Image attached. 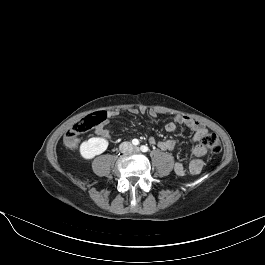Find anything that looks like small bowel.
<instances>
[{
    "label": "small bowel",
    "instance_id": "c3829d8e",
    "mask_svg": "<svg viewBox=\"0 0 265 265\" xmlns=\"http://www.w3.org/2000/svg\"><path fill=\"white\" fill-rule=\"evenodd\" d=\"M147 110L145 107L132 108L129 110L131 114H138V113H145ZM118 115L117 111H109L108 114H106L105 120L96 127V134L109 139L111 137L110 131L107 128L108 125V119L111 117H115ZM149 115L152 118H155L157 116V112L154 110L149 111ZM179 125H184L191 129L194 132L191 145L189 147V155H190V161L187 166H185L181 162H176L174 164V172L178 176H182L185 174L186 171L193 175H197L201 172L203 168V160L202 157L206 154V149L201 144L202 138L208 133V130L206 126L198 120H195L191 117L185 116V115H177L173 118L172 121H169L165 125V129L168 132H173L176 130V128ZM157 145L164 149V150H172L176 147L177 143L175 140H162L157 141Z\"/></svg>",
    "mask_w": 265,
    "mask_h": 265
}]
</instances>
